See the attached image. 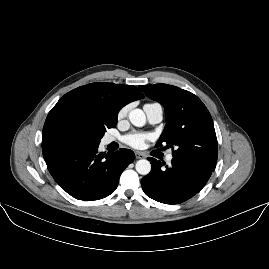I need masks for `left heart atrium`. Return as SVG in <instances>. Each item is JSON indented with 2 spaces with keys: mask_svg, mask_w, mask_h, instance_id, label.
I'll return each mask as SVG.
<instances>
[{
  "mask_svg": "<svg viewBox=\"0 0 269 269\" xmlns=\"http://www.w3.org/2000/svg\"><path fill=\"white\" fill-rule=\"evenodd\" d=\"M150 136L144 134H129L125 137V143L132 148L140 149L144 147Z\"/></svg>",
  "mask_w": 269,
  "mask_h": 269,
  "instance_id": "obj_1",
  "label": "left heart atrium"
}]
</instances>
